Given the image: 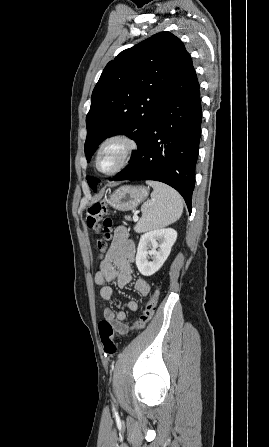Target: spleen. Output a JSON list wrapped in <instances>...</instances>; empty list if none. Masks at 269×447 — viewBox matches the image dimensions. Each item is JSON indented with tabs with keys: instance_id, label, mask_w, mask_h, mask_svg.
<instances>
[{
	"instance_id": "obj_1",
	"label": "spleen",
	"mask_w": 269,
	"mask_h": 447,
	"mask_svg": "<svg viewBox=\"0 0 269 447\" xmlns=\"http://www.w3.org/2000/svg\"><path fill=\"white\" fill-rule=\"evenodd\" d=\"M154 192L151 200L141 206L142 218L134 229L137 233L159 229L165 225L174 224L182 216L183 202L180 194L161 182H146Z\"/></svg>"
}]
</instances>
